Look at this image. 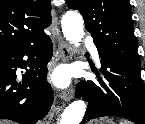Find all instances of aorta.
<instances>
[{
    "label": "aorta",
    "mask_w": 145,
    "mask_h": 124,
    "mask_svg": "<svg viewBox=\"0 0 145 124\" xmlns=\"http://www.w3.org/2000/svg\"><path fill=\"white\" fill-rule=\"evenodd\" d=\"M83 18L76 11L66 12L61 20L62 32L67 41L75 47H79L84 36ZM84 101L72 102L63 112L59 124H79L85 114Z\"/></svg>",
    "instance_id": "aorta-1"
}]
</instances>
